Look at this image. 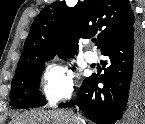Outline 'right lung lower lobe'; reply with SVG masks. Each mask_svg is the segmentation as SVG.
I'll return each mask as SVG.
<instances>
[{"instance_id":"right-lung-lower-lobe-1","label":"right lung lower lobe","mask_w":145,"mask_h":124,"mask_svg":"<svg viewBox=\"0 0 145 124\" xmlns=\"http://www.w3.org/2000/svg\"><path fill=\"white\" fill-rule=\"evenodd\" d=\"M105 73L83 80L77 105L98 124L137 119L145 109V35L137 25L109 40L101 49ZM98 83H103L102 89ZM72 103L59 105L72 107Z\"/></svg>"}]
</instances>
